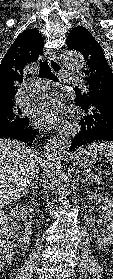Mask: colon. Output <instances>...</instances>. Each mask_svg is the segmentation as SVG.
Here are the masks:
<instances>
[{
    "mask_svg": "<svg viewBox=\"0 0 113 279\" xmlns=\"http://www.w3.org/2000/svg\"><path fill=\"white\" fill-rule=\"evenodd\" d=\"M13 241L10 228L4 215L0 212V261L11 257Z\"/></svg>",
    "mask_w": 113,
    "mask_h": 279,
    "instance_id": "1",
    "label": "colon"
}]
</instances>
